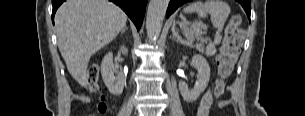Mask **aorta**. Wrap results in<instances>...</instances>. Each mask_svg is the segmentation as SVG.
<instances>
[{
    "label": "aorta",
    "mask_w": 305,
    "mask_h": 116,
    "mask_svg": "<svg viewBox=\"0 0 305 116\" xmlns=\"http://www.w3.org/2000/svg\"><path fill=\"white\" fill-rule=\"evenodd\" d=\"M169 0H150L146 17L147 36L156 42L160 36Z\"/></svg>",
    "instance_id": "obj_1"
}]
</instances>
